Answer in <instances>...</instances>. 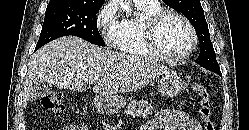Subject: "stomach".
Segmentation results:
<instances>
[{
	"instance_id": "0dacf381",
	"label": "stomach",
	"mask_w": 249,
	"mask_h": 130,
	"mask_svg": "<svg viewBox=\"0 0 249 130\" xmlns=\"http://www.w3.org/2000/svg\"><path fill=\"white\" fill-rule=\"evenodd\" d=\"M184 87V82L174 72L164 74L158 78V91L162 96L174 97ZM122 96H97L94 100L96 109L103 114H112L126 105Z\"/></svg>"
}]
</instances>
